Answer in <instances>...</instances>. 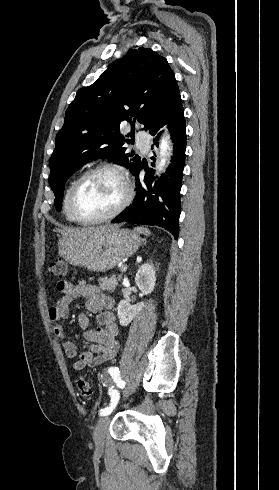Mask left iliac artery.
<instances>
[{
	"mask_svg": "<svg viewBox=\"0 0 279 490\" xmlns=\"http://www.w3.org/2000/svg\"><path fill=\"white\" fill-rule=\"evenodd\" d=\"M109 373L114 376H119V369L117 367H111L109 368ZM125 384V382H124ZM109 395L111 396V403L109 407H106L104 409H101L100 415L101 416H107L111 414V412L115 409L116 405L118 404L120 395L117 390L115 389H110L109 390Z\"/></svg>",
	"mask_w": 279,
	"mask_h": 490,
	"instance_id": "obj_1",
	"label": "left iliac artery"
}]
</instances>
